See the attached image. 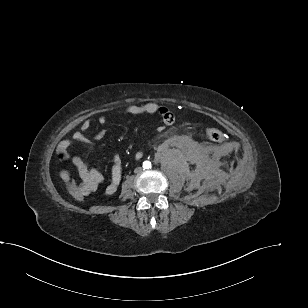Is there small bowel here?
Instances as JSON below:
<instances>
[{
    "instance_id": "small-bowel-1",
    "label": "small bowel",
    "mask_w": 308,
    "mask_h": 308,
    "mask_svg": "<svg viewBox=\"0 0 308 308\" xmlns=\"http://www.w3.org/2000/svg\"><path fill=\"white\" fill-rule=\"evenodd\" d=\"M122 115H141V114H159L164 123L170 125L174 122L173 113L165 106L157 103H145V104H133L124 107L121 110ZM98 123L100 125H105L107 123V118L105 116H100L98 118ZM91 126L90 121L86 120L81 125V132H76L73 135V139L77 142L84 144H91V141L84 135V132L88 131ZM106 135V130H100L95 135L96 140L102 139ZM70 140H63L58 145V152L64 154V159L71 161V163L77 168L79 178L81 180L80 186L87 190L89 193L95 191L99 185L104 181L103 174L97 169L89 168L88 163L78 156L71 157L68 153V148L70 146ZM122 177V164L121 159L118 155L113 157L110 180L106 185L105 191L107 194H113L116 192L118 185Z\"/></svg>"
}]
</instances>
